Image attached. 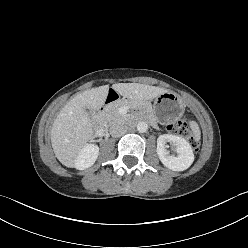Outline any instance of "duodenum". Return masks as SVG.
<instances>
[{
	"label": "duodenum",
	"mask_w": 248,
	"mask_h": 248,
	"mask_svg": "<svg viewBox=\"0 0 248 248\" xmlns=\"http://www.w3.org/2000/svg\"><path fill=\"white\" fill-rule=\"evenodd\" d=\"M120 98V95L118 92L114 89H110L107 93V96L103 102L102 110L107 107L108 105L118 101ZM94 125L98 130H103L104 127V119L101 111L95 116L94 118Z\"/></svg>",
	"instance_id": "410a0bca"
}]
</instances>
